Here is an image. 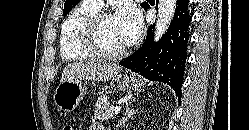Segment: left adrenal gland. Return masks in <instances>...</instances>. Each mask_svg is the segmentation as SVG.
I'll list each match as a JSON object with an SVG mask.
<instances>
[{
  "label": "left adrenal gland",
  "mask_w": 249,
  "mask_h": 130,
  "mask_svg": "<svg viewBox=\"0 0 249 130\" xmlns=\"http://www.w3.org/2000/svg\"><path fill=\"white\" fill-rule=\"evenodd\" d=\"M133 100H135V99H133ZM129 104L126 106L125 113L123 114V117L119 120V122L116 126L117 128L121 125H124L127 122V120L129 118H131V116L137 112L138 109H130Z\"/></svg>",
  "instance_id": "a2214340"
}]
</instances>
